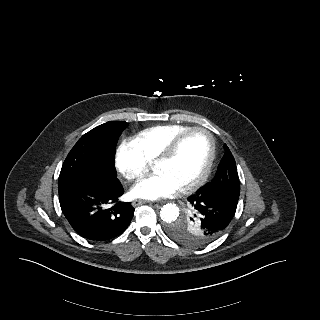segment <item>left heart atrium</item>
I'll list each match as a JSON object with an SVG mask.
<instances>
[{
  "label": "left heart atrium",
  "mask_w": 320,
  "mask_h": 320,
  "mask_svg": "<svg viewBox=\"0 0 320 320\" xmlns=\"http://www.w3.org/2000/svg\"><path fill=\"white\" fill-rule=\"evenodd\" d=\"M179 190V186L166 174L156 171L139 180L131 189V195L140 199L157 200L170 197Z\"/></svg>",
  "instance_id": "left-heart-atrium-1"
}]
</instances>
